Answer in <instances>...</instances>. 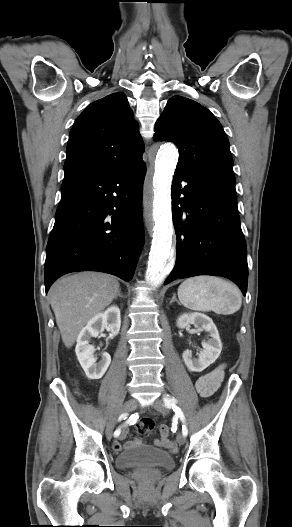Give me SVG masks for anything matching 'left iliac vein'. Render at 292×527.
Instances as JSON below:
<instances>
[{
  "label": "left iliac vein",
  "mask_w": 292,
  "mask_h": 527,
  "mask_svg": "<svg viewBox=\"0 0 292 527\" xmlns=\"http://www.w3.org/2000/svg\"><path fill=\"white\" fill-rule=\"evenodd\" d=\"M153 407L154 409H156L158 412L166 415L169 413V409L165 406V404L163 403L162 400L160 399H156L154 402H153ZM177 441L180 445H183L186 441V438L183 434H178L177 436Z\"/></svg>",
  "instance_id": "1"
}]
</instances>
